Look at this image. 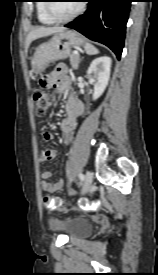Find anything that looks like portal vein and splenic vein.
Returning a JSON list of instances; mask_svg holds the SVG:
<instances>
[{
    "mask_svg": "<svg viewBox=\"0 0 158 275\" xmlns=\"http://www.w3.org/2000/svg\"><path fill=\"white\" fill-rule=\"evenodd\" d=\"M73 53L76 54V55H79V52H78V51H74Z\"/></svg>",
    "mask_w": 158,
    "mask_h": 275,
    "instance_id": "18ae733b",
    "label": "portal vein and splenic vein"
}]
</instances>
